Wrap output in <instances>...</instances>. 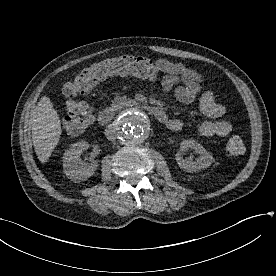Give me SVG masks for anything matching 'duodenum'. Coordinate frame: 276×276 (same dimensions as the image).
Listing matches in <instances>:
<instances>
[{"mask_svg":"<svg viewBox=\"0 0 276 276\" xmlns=\"http://www.w3.org/2000/svg\"><path fill=\"white\" fill-rule=\"evenodd\" d=\"M147 111L150 115L156 118L161 123H166L168 121L166 113L157 106L146 105V106H138ZM116 115V111L113 108H106L102 110L98 115V121L102 125H107L111 123Z\"/></svg>","mask_w":276,"mask_h":276,"instance_id":"duodenum-1","label":"duodenum"}]
</instances>
